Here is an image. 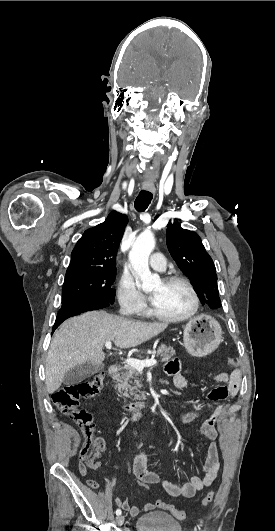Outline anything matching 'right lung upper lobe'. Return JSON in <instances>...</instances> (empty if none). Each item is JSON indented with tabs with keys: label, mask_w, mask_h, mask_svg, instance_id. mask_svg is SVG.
<instances>
[{
	"label": "right lung upper lobe",
	"mask_w": 275,
	"mask_h": 531,
	"mask_svg": "<svg viewBox=\"0 0 275 531\" xmlns=\"http://www.w3.org/2000/svg\"><path fill=\"white\" fill-rule=\"evenodd\" d=\"M127 223L126 215L112 211L103 223L86 230L71 253L66 273L89 269L116 270L117 249Z\"/></svg>",
	"instance_id": "obj_1"
}]
</instances>
